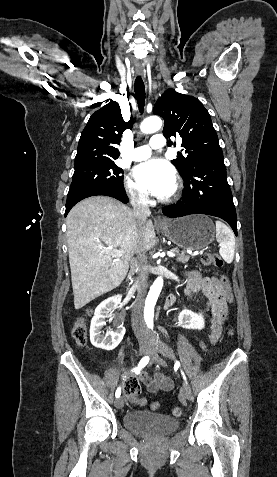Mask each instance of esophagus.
Masks as SVG:
<instances>
[{
    "mask_svg": "<svg viewBox=\"0 0 277 477\" xmlns=\"http://www.w3.org/2000/svg\"><path fill=\"white\" fill-rule=\"evenodd\" d=\"M136 73H137V75H141V76L143 75V72H142V71H137ZM155 222H156L157 224H165V223H166L165 219L162 218L160 215H157V216H156Z\"/></svg>",
    "mask_w": 277,
    "mask_h": 477,
    "instance_id": "obj_1",
    "label": "esophagus"
}]
</instances>
